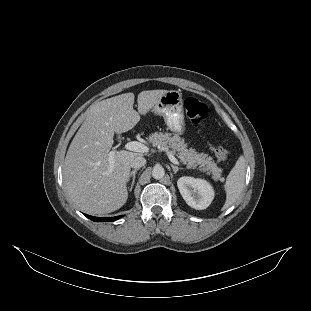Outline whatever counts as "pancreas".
Segmentation results:
<instances>
[{
  "label": "pancreas",
  "instance_id": "cf45deb5",
  "mask_svg": "<svg viewBox=\"0 0 311 311\" xmlns=\"http://www.w3.org/2000/svg\"><path fill=\"white\" fill-rule=\"evenodd\" d=\"M151 142L154 147L169 148L175 157L183 163H188L193 168L198 165L200 172L208 176L212 175L211 178L214 182H218L221 179L223 169L213 162L212 157L208 156V154L200 153L196 149L190 148L185 138L155 133L151 137Z\"/></svg>",
  "mask_w": 311,
  "mask_h": 311
}]
</instances>
